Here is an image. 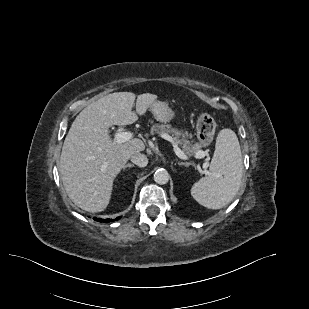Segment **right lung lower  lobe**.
Returning a JSON list of instances; mask_svg holds the SVG:
<instances>
[{
    "label": "right lung lower lobe",
    "mask_w": 309,
    "mask_h": 309,
    "mask_svg": "<svg viewBox=\"0 0 309 309\" xmlns=\"http://www.w3.org/2000/svg\"><path fill=\"white\" fill-rule=\"evenodd\" d=\"M120 217L116 218V220H118ZM95 221H99V222H104V223H108L110 221H114L113 219H101V218H94Z\"/></svg>",
    "instance_id": "98d812e1"
}]
</instances>
